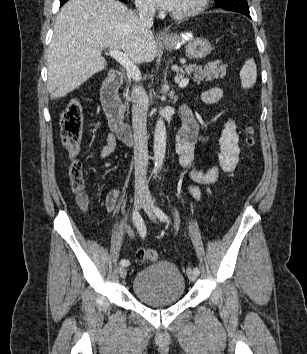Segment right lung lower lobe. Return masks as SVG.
<instances>
[{"label": "right lung lower lobe", "mask_w": 307, "mask_h": 354, "mask_svg": "<svg viewBox=\"0 0 307 354\" xmlns=\"http://www.w3.org/2000/svg\"><path fill=\"white\" fill-rule=\"evenodd\" d=\"M67 0H60V6H62ZM120 1H125V0H120Z\"/></svg>", "instance_id": "obj_1"}]
</instances>
